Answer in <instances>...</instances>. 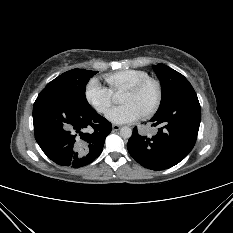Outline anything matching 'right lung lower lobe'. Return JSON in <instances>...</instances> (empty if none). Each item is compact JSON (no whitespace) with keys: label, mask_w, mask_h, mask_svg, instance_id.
<instances>
[{"label":"right lung lower lobe","mask_w":233,"mask_h":233,"mask_svg":"<svg viewBox=\"0 0 233 233\" xmlns=\"http://www.w3.org/2000/svg\"><path fill=\"white\" fill-rule=\"evenodd\" d=\"M35 139L42 151L61 166L78 168L102 152L112 125L91 106L54 89H43L33 106Z\"/></svg>","instance_id":"obj_1"}]
</instances>
